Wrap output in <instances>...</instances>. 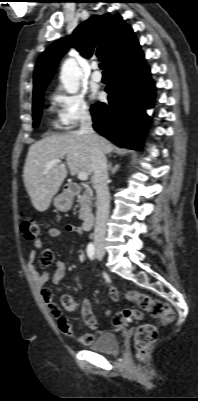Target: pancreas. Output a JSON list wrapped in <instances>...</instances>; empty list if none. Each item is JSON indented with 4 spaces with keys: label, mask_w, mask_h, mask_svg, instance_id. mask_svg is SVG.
I'll list each match as a JSON object with an SVG mask.
<instances>
[{
    "label": "pancreas",
    "mask_w": 198,
    "mask_h": 401,
    "mask_svg": "<svg viewBox=\"0 0 198 401\" xmlns=\"http://www.w3.org/2000/svg\"><path fill=\"white\" fill-rule=\"evenodd\" d=\"M93 200L92 191L87 188L85 192L79 196L80 203V211H79V219L84 220L86 216L91 213V205Z\"/></svg>",
    "instance_id": "pancreas-1"
}]
</instances>
